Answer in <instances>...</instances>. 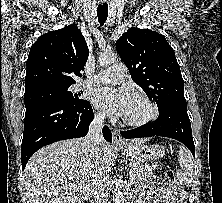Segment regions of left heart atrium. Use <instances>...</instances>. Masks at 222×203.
Segmentation results:
<instances>
[{
    "instance_id": "obj_1",
    "label": "left heart atrium",
    "mask_w": 222,
    "mask_h": 203,
    "mask_svg": "<svg viewBox=\"0 0 222 203\" xmlns=\"http://www.w3.org/2000/svg\"><path fill=\"white\" fill-rule=\"evenodd\" d=\"M131 100L130 93L124 88L104 86L92 93L95 106L111 115L123 116Z\"/></svg>"
}]
</instances>
